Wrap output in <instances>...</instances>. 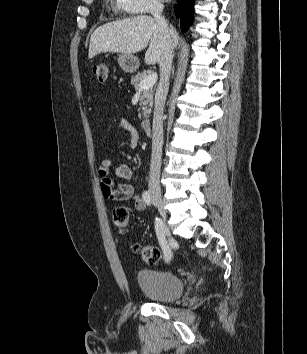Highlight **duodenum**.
Returning a JSON list of instances; mask_svg holds the SVG:
<instances>
[{
  "label": "duodenum",
  "mask_w": 307,
  "mask_h": 354,
  "mask_svg": "<svg viewBox=\"0 0 307 354\" xmlns=\"http://www.w3.org/2000/svg\"><path fill=\"white\" fill-rule=\"evenodd\" d=\"M141 127L147 135L152 134V122L150 119H143L141 122Z\"/></svg>",
  "instance_id": "obj_1"
}]
</instances>
